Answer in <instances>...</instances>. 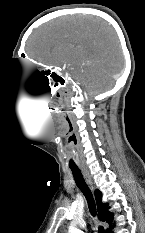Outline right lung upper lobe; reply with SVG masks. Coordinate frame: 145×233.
Listing matches in <instances>:
<instances>
[{
	"label": "right lung upper lobe",
	"instance_id": "right-lung-upper-lobe-1",
	"mask_svg": "<svg viewBox=\"0 0 145 233\" xmlns=\"http://www.w3.org/2000/svg\"><path fill=\"white\" fill-rule=\"evenodd\" d=\"M102 194L99 190L95 191V198L97 202V207H98V217L99 220L108 222L111 228V224L113 221V214L108 211V204L107 203H102L101 201ZM108 228L107 231L110 229Z\"/></svg>",
	"mask_w": 145,
	"mask_h": 233
}]
</instances>
